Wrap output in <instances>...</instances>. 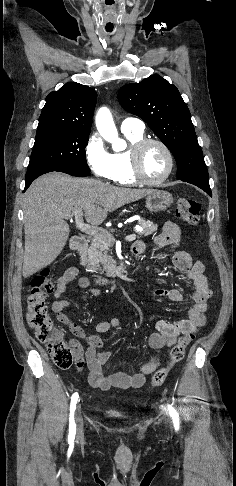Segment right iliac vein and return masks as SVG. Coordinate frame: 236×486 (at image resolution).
Wrapping results in <instances>:
<instances>
[{
  "label": "right iliac vein",
  "mask_w": 236,
  "mask_h": 486,
  "mask_svg": "<svg viewBox=\"0 0 236 486\" xmlns=\"http://www.w3.org/2000/svg\"><path fill=\"white\" fill-rule=\"evenodd\" d=\"M75 419H76V425H77V435H78V437H81L82 434H83V418H82L79 407H77Z\"/></svg>",
  "instance_id": "63e3f726"
}]
</instances>
